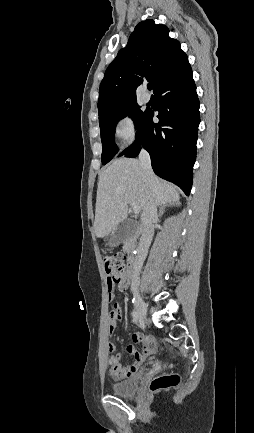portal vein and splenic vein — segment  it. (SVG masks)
<instances>
[{"label": "portal vein and splenic vein", "instance_id": "portal-vein-and-splenic-vein-1", "mask_svg": "<svg viewBox=\"0 0 254 433\" xmlns=\"http://www.w3.org/2000/svg\"><path fill=\"white\" fill-rule=\"evenodd\" d=\"M130 206L132 207L135 214H138L140 212V207L136 203H130Z\"/></svg>", "mask_w": 254, "mask_h": 433}]
</instances>
